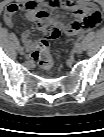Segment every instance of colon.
<instances>
[{
	"label": "colon",
	"mask_w": 104,
	"mask_h": 137,
	"mask_svg": "<svg viewBox=\"0 0 104 137\" xmlns=\"http://www.w3.org/2000/svg\"><path fill=\"white\" fill-rule=\"evenodd\" d=\"M37 21L42 30V36L37 41L32 56L42 68L50 69L53 66V56L49 47V40L58 38L61 32L52 24L51 18L46 11L37 13ZM85 21L83 20L81 23Z\"/></svg>",
	"instance_id": "colon-1"
}]
</instances>
